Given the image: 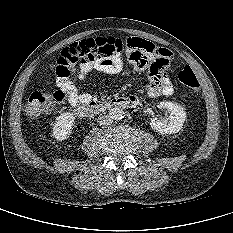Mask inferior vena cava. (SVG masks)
Listing matches in <instances>:
<instances>
[{
    "instance_id": "1",
    "label": "inferior vena cava",
    "mask_w": 233,
    "mask_h": 233,
    "mask_svg": "<svg viewBox=\"0 0 233 233\" xmlns=\"http://www.w3.org/2000/svg\"><path fill=\"white\" fill-rule=\"evenodd\" d=\"M99 125H109L112 123V119L108 114H100L97 118Z\"/></svg>"
}]
</instances>
